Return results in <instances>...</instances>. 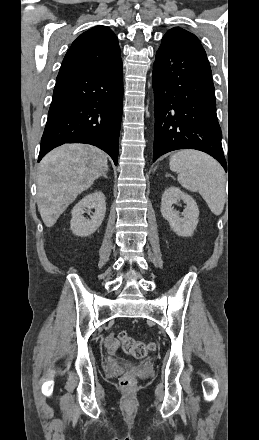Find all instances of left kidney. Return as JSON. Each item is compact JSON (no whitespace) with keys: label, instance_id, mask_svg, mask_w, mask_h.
I'll use <instances>...</instances> for the list:
<instances>
[{"label":"left kidney","instance_id":"5707ae66","mask_svg":"<svg viewBox=\"0 0 259 440\" xmlns=\"http://www.w3.org/2000/svg\"><path fill=\"white\" fill-rule=\"evenodd\" d=\"M183 201L186 207L179 216V212L173 208V204ZM161 214L169 222L171 229L179 236H192L197 224L199 209L196 201L188 194L181 191L178 187L167 188L161 199Z\"/></svg>","mask_w":259,"mask_h":440}]
</instances>
